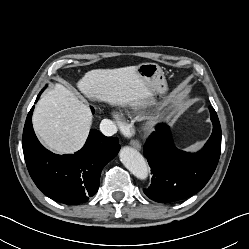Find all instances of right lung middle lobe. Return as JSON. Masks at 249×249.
<instances>
[{"label":"right lung middle lobe","instance_id":"1","mask_svg":"<svg viewBox=\"0 0 249 249\" xmlns=\"http://www.w3.org/2000/svg\"><path fill=\"white\" fill-rule=\"evenodd\" d=\"M91 110H92V112H94V109H93V108H91Z\"/></svg>","mask_w":249,"mask_h":249}]
</instances>
